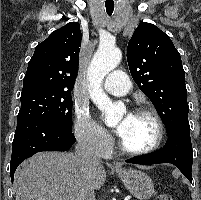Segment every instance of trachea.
<instances>
[{
	"instance_id": "3493384b",
	"label": "trachea",
	"mask_w": 201,
	"mask_h": 200,
	"mask_svg": "<svg viewBox=\"0 0 201 200\" xmlns=\"http://www.w3.org/2000/svg\"><path fill=\"white\" fill-rule=\"evenodd\" d=\"M106 13L108 16H111L114 11V5H105Z\"/></svg>"
}]
</instances>
